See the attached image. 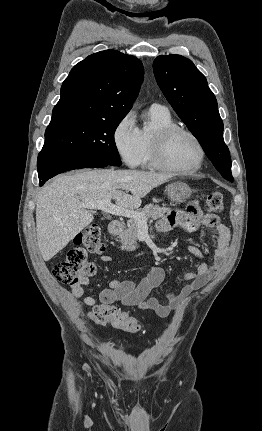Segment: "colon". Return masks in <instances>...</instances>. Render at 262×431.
I'll list each match as a JSON object with an SVG mask.
<instances>
[{
	"mask_svg": "<svg viewBox=\"0 0 262 431\" xmlns=\"http://www.w3.org/2000/svg\"><path fill=\"white\" fill-rule=\"evenodd\" d=\"M207 212L220 214L224 210V199L220 191H211L205 201ZM196 208L189 207V214H195ZM105 246L100 239V229L97 224H91L84 233L76 236L74 246L71 247L64 259L54 267V274L58 281L70 288H76L87 281L95 273L96 267L88 261L85 251L101 254ZM93 319L97 323L108 322L112 327L130 333H138L141 326L135 318L128 314L110 310L107 315L94 314Z\"/></svg>",
	"mask_w": 262,
	"mask_h": 431,
	"instance_id": "5ec220e1",
	"label": "colon"
}]
</instances>
